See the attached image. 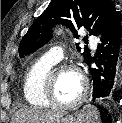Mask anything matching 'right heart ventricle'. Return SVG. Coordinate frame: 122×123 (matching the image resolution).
<instances>
[{
    "label": "right heart ventricle",
    "mask_w": 122,
    "mask_h": 123,
    "mask_svg": "<svg viewBox=\"0 0 122 123\" xmlns=\"http://www.w3.org/2000/svg\"><path fill=\"white\" fill-rule=\"evenodd\" d=\"M56 63L44 55L27 70L23 83V94L31 106L45 108L51 105L45 97L44 85L49 70Z\"/></svg>",
    "instance_id": "right-heart-ventricle-1"
}]
</instances>
